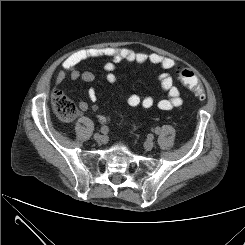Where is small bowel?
<instances>
[{"mask_svg": "<svg viewBox=\"0 0 245 245\" xmlns=\"http://www.w3.org/2000/svg\"><path fill=\"white\" fill-rule=\"evenodd\" d=\"M101 57L109 58V61L105 63L104 69L107 73L106 79L111 84L117 82L116 70L118 65L121 63H136L140 65L150 63L153 65H158L165 70L171 69L176 65V61L173 58L165 57L157 53L147 54L143 52H135L131 49L122 47L90 49L79 51L69 56L63 62V70L57 74L55 81L60 83L67 78H71L72 80L81 79L85 83L93 81L94 74L90 71H79L77 69V65L85 60ZM158 80L161 86V90L164 94V97H162L157 103L158 108L164 111L180 108L183 104V100L180 95V91L174 84L171 75L168 73H162L159 75ZM88 97L92 103L96 102L97 93L95 89H89ZM127 104L130 108L141 107L145 110H149L154 106V99L150 95L141 96L139 94L133 93L128 96ZM78 106L81 111H86L89 107L88 103L85 101H79ZM92 109L96 110L97 105L93 104ZM99 120L101 122H107L108 118L105 116H99Z\"/></svg>", "mask_w": 245, "mask_h": 245, "instance_id": "small-bowel-1", "label": "small bowel"}]
</instances>
